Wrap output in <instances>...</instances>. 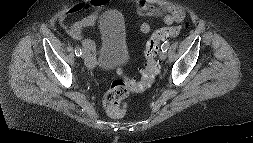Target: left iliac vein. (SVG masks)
Here are the masks:
<instances>
[{"label":"left iliac vein","instance_id":"left-iliac-vein-1","mask_svg":"<svg viewBox=\"0 0 253 143\" xmlns=\"http://www.w3.org/2000/svg\"><path fill=\"white\" fill-rule=\"evenodd\" d=\"M167 57V53L164 52V51H161L160 54H159V58L160 60H165Z\"/></svg>","mask_w":253,"mask_h":143}]
</instances>
